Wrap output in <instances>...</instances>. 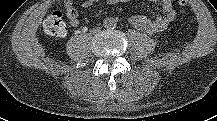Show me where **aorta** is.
<instances>
[{"label": "aorta", "instance_id": "1", "mask_svg": "<svg viewBox=\"0 0 217 121\" xmlns=\"http://www.w3.org/2000/svg\"><path fill=\"white\" fill-rule=\"evenodd\" d=\"M104 27L107 29H113L116 27L117 25V21L116 19L112 18V17H108L104 19V23H103Z\"/></svg>", "mask_w": 217, "mask_h": 121}]
</instances>
